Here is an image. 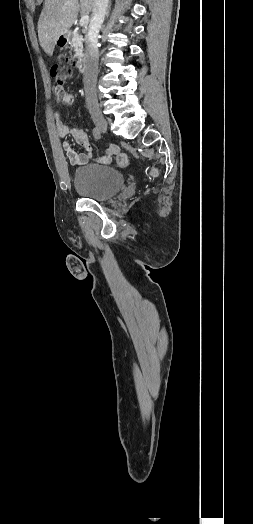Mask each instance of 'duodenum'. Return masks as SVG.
<instances>
[{
    "instance_id": "obj_1",
    "label": "duodenum",
    "mask_w": 253,
    "mask_h": 524,
    "mask_svg": "<svg viewBox=\"0 0 253 524\" xmlns=\"http://www.w3.org/2000/svg\"><path fill=\"white\" fill-rule=\"evenodd\" d=\"M77 69L80 73H84L86 71V62H85V59L83 57H79L77 59Z\"/></svg>"
}]
</instances>
